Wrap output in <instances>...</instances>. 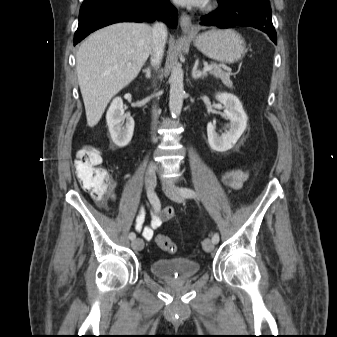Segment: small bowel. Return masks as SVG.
I'll return each mask as SVG.
<instances>
[{"label": "small bowel", "instance_id": "1", "mask_svg": "<svg viewBox=\"0 0 337 337\" xmlns=\"http://www.w3.org/2000/svg\"><path fill=\"white\" fill-rule=\"evenodd\" d=\"M248 178V172L246 170L231 168L227 169L222 176L223 182L232 188H239L243 182ZM116 183L113 182L112 190L109 193L111 200L116 199L114 188ZM174 218V210L172 208H166L162 211L154 209L152 211V220L149 225H144L145 212L141 208L135 219V230L142 235L146 241H150L154 238L155 230L159 228L163 223L172 220Z\"/></svg>", "mask_w": 337, "mask_h": 337}]
</instances>
